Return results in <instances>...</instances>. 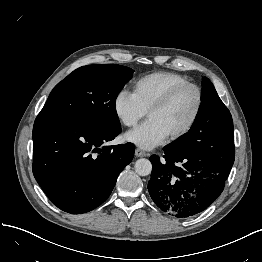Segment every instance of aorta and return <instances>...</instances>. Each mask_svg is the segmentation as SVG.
Returning a JSON list of instances; mask_svg holds the SVG:
<instances>
[{
    "mask_svg": "<svg viewBox=\"0 0 262 262\" xmlns=\"http://www.w3.org/2000/svg\"><path fill=\"white\" fill-rule=\"evenodd\" d=\"M135 171L140 176H147L152 171V164L148 159L141 158L135 162Z\"/></svg>",
    "mask_w": 262,
    "mask_h": 262,
    "instance_id": "obj_1",
    "label": "aorta"
}]
</instances>
